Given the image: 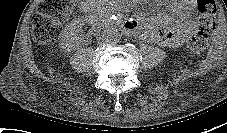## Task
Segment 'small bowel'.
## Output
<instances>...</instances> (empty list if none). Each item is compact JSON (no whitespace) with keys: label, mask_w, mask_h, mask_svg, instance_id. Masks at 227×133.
<instances>
[{"label":"small bowel","mask_w":227,"mask_h":133,"mask_svg":"<svg viewBox=\"0 0 227 133\" xmlns=\"http://www.w3.org/2000/svg\"><path fill=\"white\" fill-rule=\"evenodd\" d=\"M167 7L166 12L156 18L143 21L141 24L129 18L124 22L129 26V32L140 34L147 41L160 46H178L182 44L195 30L197 18L196 0H159ZM95 8V7H94ZM98 10L100 7H96ZM119 16L118 13H113ZM173 14L178 15L176 20Z\"/></svg>","instance_id":"c3829d8e"}]
</instances>
